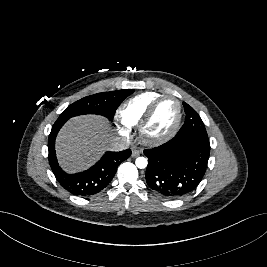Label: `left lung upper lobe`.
I'll list each match as a JSON object with an SVG mask.
<instances>
[{"instance_id": "obj_1", "label": "left lung upper lobe", "mask_w": 267, "mask_h": 267, "mask_svg": "<svg viewBox=\"0 0 267 267\" xmlns=\"http://www.w3.org/2000/svg\"><path fill=\"white\" fill-rule=\"evenodd\" d=\"M183 106L185 109L186 118L183 126L176 134V137L192 133L207 135L205 126L198 113L185 102L183 103Z\"/></svg>"}]
</instances>
